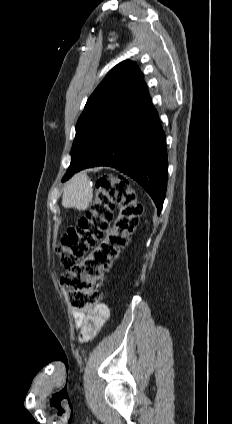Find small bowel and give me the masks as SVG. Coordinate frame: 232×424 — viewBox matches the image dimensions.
Masks as SVG:
<instances>
[{
	"label": "small bowel",
	"instance_id": "c3829d8e",
	"mask_svg": "<svg viewBox=\"0 0 232 424\" xmlns=\"http://www.w3.org/2000/svg\"><path fill=\"white\" fill-rule=\"evenodd\" d=\"M109 308L104 303H97L87 310H75L72 316L75 326L80 330L81 341L91 342L109 319Z\"/></svg>",
	"mask_w": 232,
	"mask_h": 424
}]
</instances>
